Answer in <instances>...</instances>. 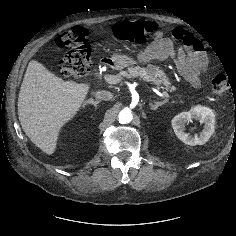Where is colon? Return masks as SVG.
<instances>
[{"label":"colon","instance_id":"5ec220e1","mask_svg":"<svg viewBox=\"0 0 236 236\" xmlns=\"http://www.w3.org/2000/svg\"><path fill=\"white\" fill-rule=\"evenodd\" d=\"M158 30V25L152 21L136 20L122 21L115 25L114 35L117 39L132 44H142L148 41ZM58 46L66 49V55L60 63L62 76L79 79L86 76L90 70L91 50L88 43V31L77 26L59 34L56 39ZM232 87L222 74L215 75L211 80V89L215 94H221Z\"/></svg>","mask_w":236,"mask_h":236}]
</instances>
